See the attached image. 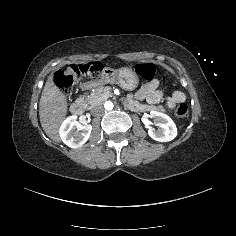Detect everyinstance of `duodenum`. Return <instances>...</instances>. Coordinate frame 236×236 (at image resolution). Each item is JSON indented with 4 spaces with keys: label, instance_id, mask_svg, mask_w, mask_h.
<instances>
[{
    "label": "duodenum",
    "instance_id": "duodenum-1",
    "mask_svg": "<svg viewBox=\"0 0 236 236\" xmlns=\"http://www.w3.org/2000/svg\"><path fill=\"white\" fill-rule=\"evenodd\" d=\"M94 85H95V83L86 82L82 85V88L89 89V88L93 87ZM85 108H86V106H85L84 101L81 99H77L71 104L70 111L75 115H81L85 112Z\"/></svg>",
    "mask_w": 236,
    "mask_h": 236
}]
</instances>
